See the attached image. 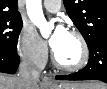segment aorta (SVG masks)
<instances>
[{
  "label": "aorta",
  "instance_id": "762f6f07",
  "mask_svg": "<svg viewBox=\"0 0 107 89\" xmlns=\"http://www.w3.org/2000/svg\"><path fill=\"white\" fill-rule=\"evenodd\" d=\"M27 14L31 22L38 27L43 37H49L54 24L48 23L44 17L41 0L26 1Z\"/></svg>",
  "mask_w": 107,
  "mask_h": 89
}]
</instances>
